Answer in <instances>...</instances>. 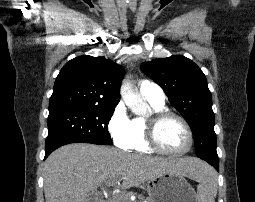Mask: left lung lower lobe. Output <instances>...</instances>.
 <instances>
[{"instance_id":"1","label":"left lung lower lobe","mask_w":255,"mask_h":202,"mask_svg":"<svg viewBox=\"0 0 255 202\" xmlns=\"http://www.w3.org/2000/svg\"><path fill=\"white\" fill-rule=\"evenodd\" d=\"M205 161H207L209 164H211L216 170H219V161L218 162H215L213 161L212 159H203Z\"/></svg>"}]
</instances>
